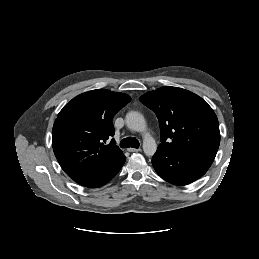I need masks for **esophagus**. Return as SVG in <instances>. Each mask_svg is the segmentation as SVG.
Listing matches in <instances>:
<instances>
[{"label":"esophagus","mask_w":259,"mask_h":259,"mask_svg":"<svg viewBox=\"0 0 259 259\" xmlns=\"http://www.w3.org/2000/svg\"><path fill=\"white\" fill-rule=\"evenodd\" d=\"M128 151L129 152H139V151H141V148H129Z\"/></svg>","instance_id":"34e87169"}]
</instances>
